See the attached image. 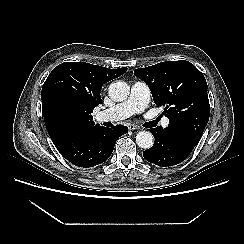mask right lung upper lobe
Masks as SVG:
<instances>
[{
  "mask_svg": "<svg viewBox=\"0 0 244 244\" xmlns=\"http://www.w3.org/2000/svg\"><path fill=\"white\" fill-rule=\"evenodd\" d=\"M126 71V67L109 69L84 62L55 67L41 92L44 121L53 143L70 133L100 127L91 113L101 104V88Z\"/></svg>",
  "mask_w": 244,
  "mask_h": 244,
  "instance_id": "obj_1",
  "label": "right lung upper lobe"
}]
</instances>
